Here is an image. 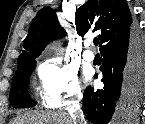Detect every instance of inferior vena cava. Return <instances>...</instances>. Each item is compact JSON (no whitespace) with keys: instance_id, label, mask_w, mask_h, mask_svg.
Returning <instances> with one entry per match:
<instances>
[{"instance_id":"obj_1","label":"inferior vena cava","mask_w":145,"mask_h":124,"mask_svg":"<svg viewBox=\"0 0 145 124\" xmlns=\"http://www.w3.org/2000/svg\"><path fill=\"white\" fill-rule=\"evenodd\" d=\"M71 119L73 124H83L84 123V115L81 109H76L71 113Z\"/></svg>"}]
</instances>
